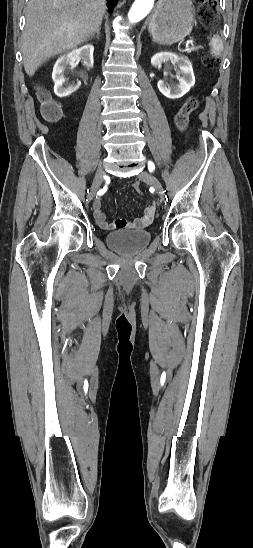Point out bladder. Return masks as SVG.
Here are the masks:
<instances>
[{
  "mask_svg": "<svg viewBox=\"0 0 253 548\" xmlns=\"http://www.w3.org/2000/svg\"><path fill=\"white\" fill-rule=\"evenodd\" d=\"M149 230H118L106 235L107 244L125 254H135L143 250L151 240Z\"/></svg>",
  "mask_w": 253,
  "mask_h": 548,
  "instance_id": "31cf9c89",
  "label": "bladder"
}]
</instances>
